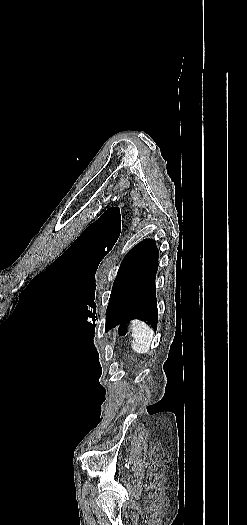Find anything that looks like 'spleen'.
<instances>
[{
  "instance_id": "spleen-1",
  "label": "spleen",
  "mask_w": 247,
  "mask_h": 525,
  "mask_svg": "<svg viewBox=\"0 0 247 525\" xmlns=\"http://www.w3.org/2000/svg\"><path fill=\"white\" fill-rule=\"evenodd\" d=\"M153 331L149 325L143 321H132V337L133 341L131 347L136 353H149L151 343L153 341Z\"/></svg>"
}]
</instances>
